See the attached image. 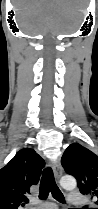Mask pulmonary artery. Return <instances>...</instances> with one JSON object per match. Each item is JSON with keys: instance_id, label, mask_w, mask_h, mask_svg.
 I'll list each match as a JSON object with an SVG mask.
<instances>
[{"instance_id": "1", "label": "pulmonary artery", "mask_w": 98, "mask_h": 209, "mask_svg": "<svg viewBox=\"0 0 98 209\" xmlns=\"http://www.w3.org/2000/svg\"><path fill=\"white\" fill-rule=\"evenodd\" d=\"M67 200H68L69 204H71L73 206H79L84 202V198L78 192L69 193ZM29 209H57V208H56L55 204H53L51 202H47V203H43V204H40L36 207L29 208Z\"/></svg>"}]
</instances>
